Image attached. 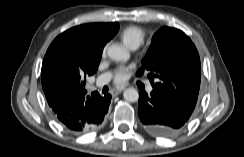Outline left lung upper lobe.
Here are the masks:
<instances>
[{
	"label": "left lung upper lobe",
	"instance_id": "obj_1",
	"mask_svg": "<svg viewBox=\"0 0 244 157\" xmlns=\"http://www.w3.org/2000/svg\"><path fill=\"white\" fill-rule=\"evenodd\" d=\"M142 65L137 71L138 76L144 69L149 71L153 88L193 114L198 101L201 66L198 51L184 32L162 27L153 36Z\"/></svg>",
	"mask_w": 244,
	"mask_h": 157
}]
</instances>
